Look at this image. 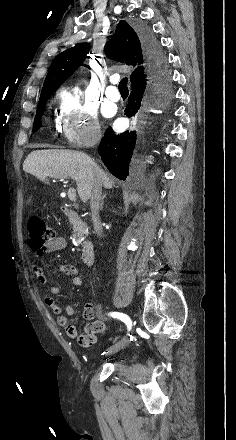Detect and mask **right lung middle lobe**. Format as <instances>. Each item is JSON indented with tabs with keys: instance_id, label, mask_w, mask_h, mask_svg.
I'll use <instances>...</instances> for the list:
<instances>
[{
	"instance_id": "1",
	"label": "right lung middle lobe",
	"mask_w": 236,
	"mask_h": 440,
	"mask_svg": "<svg viewBox=\"0 0 236 440\" xmlns=\"http://www.w3.org/2000/svg\"><path fill=\"white\" fill-rule=\"evenodd\" d=\"M151 90L153 92V98H156L158 100L168 99L171 94L169 84L164 85V87H162L161 89H158L157 91H155V88H153V87H151ZM50 94L51 93H49L46 96H44L43 98L39 99L37 113H36V117L34 119V124H33V132L37 131L41 127L40 117L43 114V110L46 106V100L49 98Z\"/></svg>"
}]
</instances>
